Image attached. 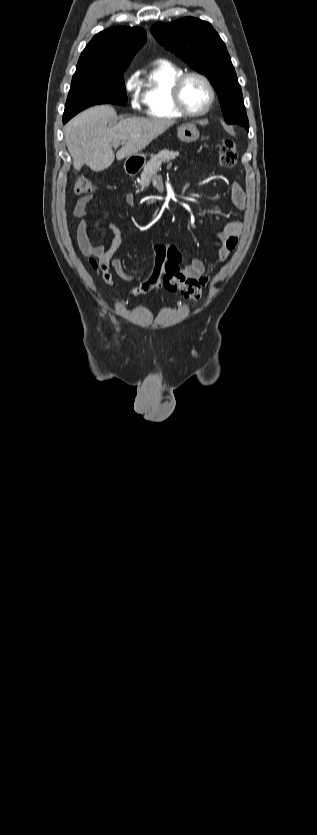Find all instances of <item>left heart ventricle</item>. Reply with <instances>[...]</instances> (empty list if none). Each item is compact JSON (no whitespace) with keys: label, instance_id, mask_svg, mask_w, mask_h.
I'll return each mask as SVG.
<instances>
[{"label":"left heart ventricle","instance_id":"obj_1","mask_svg":"<svg viewBox=\"0 0 317 835\" xmlns=\"http://www.w3.org/2000/svg\"><path fill=\"white\" fill-rule=\"evenodd\" d=\"M182 97L186 107L196 112L203 110L207 106L210 99V92L202 80L193 77L186 82Z\"/></svg>","mask_w":317,"mask_h":835}]
</instances>
